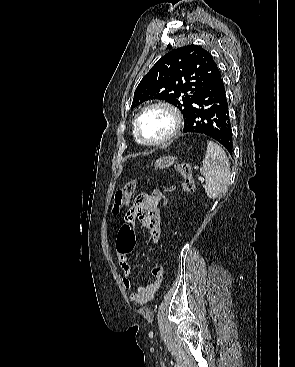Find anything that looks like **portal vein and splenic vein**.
Segmentation results:
<instances>
[{
  "mask_svg": "<svg viewBox=\"0 0 295 367\" xmlns=\"http://www.w3.org/2000/svg\"><path fill=\"white\" fill-rule=\"evenodd\" d=\"M198 180H199L200 182H203V181H204V177H203V176H198Z\"/></svg>",
  "mask_w": 295,
  "mask_h": 367,
  "instance_id": "1",
  "label": "portal vein and splenic vein"
}]
</instances>
